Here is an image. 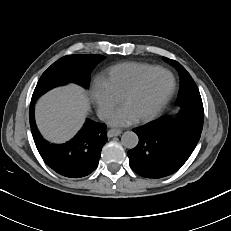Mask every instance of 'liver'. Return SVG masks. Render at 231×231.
Returning a JSON list of instances; mask_svg holds the SVG:
<instances>
[{
  "instance_id": "obj_1",
  "label": "liver",
  "mask_w": 231,
  "mask_h": 231,
  "mask_svg": "<svg viewBox=\"0 0 231 231\" xmlns=\"http://www.w3.org/2000/svg\"><path fill=\"white\" fill-rule=\"evenodd\" d=\"M88 110V98L81 87L70 84L55 88L35 106L37 126L47 140L63 143L80 129Z\"/></svg>"
}]
</instances>
